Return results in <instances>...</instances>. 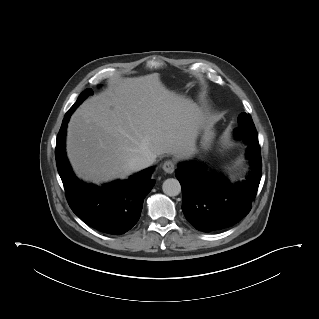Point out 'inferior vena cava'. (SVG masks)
Wrapping results in <instances>:
<instances>
[{
  "label": "inferior vena cava",
  "mask_w": 319,
  "mask_h": 319,
  "mask_svg": "<svg viewBox=\"0 0 319 319\" xmlns=\"http://www.w3.org/2000/svg\"><path fill=\"white\" fill-rule=\"evenodd\" d=\"M155 161V157L153 156H141L136 157L129 163V168L132 171H140L151 166Z\"/></svg>",
  "instance_id": "inferior-vena-cava-1"
}]
</instances>
